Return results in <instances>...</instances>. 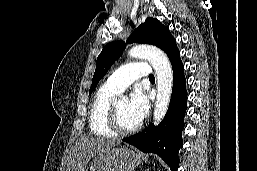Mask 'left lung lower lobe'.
I'll return each instance as SVG.
<instances>
[{"label": "left lung lower lobe", "mask_w": 257, "mask_h": 171, "mask_svg": "<svg viewBox=\"0 0 257 171\" xmlns=\"http://www.w3.org/2000/svg\"><path fill=\"white\" fill-rule=\"evenodd\" d=\"M173 67V89L168 111L163 121L154 127L150 124L142 132L124 138L123 141L145 153H156L170 167L178 169V151L183 145L181 137L186 112V85L179 50L169 56Z\"/></svg>", "instance_id": "1"}]
</instances>
